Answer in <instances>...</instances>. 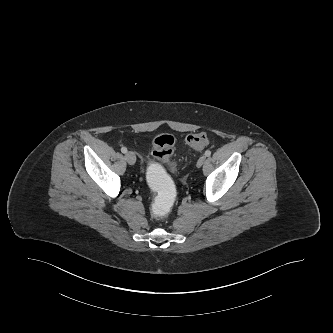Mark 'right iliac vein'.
Segmentation results:
<instances>
[{
    "instance_id": "obj_1",
    "label": "right iliac vein",
    "mask_w": 333,
    "mask_h": 333,
    "mask_svg": "<svg viewBox=\"0 0 333 333\" xmlns=\"http://www.w3.org/2000/svg\"><path fill=\"white\" fill-rule=\"evenodd\" d=\"M125 159L130 165H134L136 162V156L132 151H129L125 154Z\"/></svg>"
}]
</instances>
